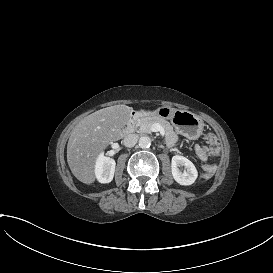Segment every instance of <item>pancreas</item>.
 <instances>
[{
    "instance_id": "obj_1",
    "label": "pancreas",
    "mask_w": 273,
    "mask_h": 273,
    "mask_svg": "<svg viewBox=\"0 0 273 273\" xmlns=\"http://www.w3.org/2000/svg\"><path fill=\"white\" fill-rule=\"evenodd\" d=\"M154 123H159L165 130V143L166 147L174 151L178 146L179 135L174 131L173 126L166 120L159 118L155 115H151L149 117H141L137 121V132L141 134H149L151 133V126Z\"/></svg>"
}]
</instances>
